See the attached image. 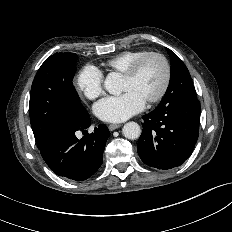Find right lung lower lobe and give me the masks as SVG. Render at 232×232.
I'll return each instance as SVG.
<instances>
[{"mask_svg":"<svg viewBox=\"0 0 232 232\" xmlns=\"http://www.w3.org/2000/svg\"><path fill=\"white\" fill-rule=\"evenodd\" d=\"M90 124L88 112L81 119L61 118L38 148L46 164L58 176L82 181L91 177L101 166L110 135L108 128L101 124L80 140L75 136L78 130L86 133L85 129Z\"/></svg>","mask_w":232,"mask_h":232,"instance_id":"98d812e1","label":"right lung lower lobe"}]
</instances>
